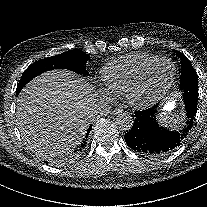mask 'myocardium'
<instances>
[{
    "label": "myocardium",
    "instance_id": "f54148a6",
    "mask_svg": "<svg viewBox=\"0 0 207 207\" xmlns=\"http://www.w3.org/2000/svg\"><path fill=\"white\" fill-rule=\"evenodd\" d=\"M169 62L173 66L172 77L165 87V89L158 96H148L147 87H148V77L149 74L161 63ZM177 77V67L176 63L166 57H162L151 63L142 73L139 82L127 93L126 99L128 103L135 109H141L149 104L155 103L161 99L166 98L170 93L175 84Z\"/></svg>",
    "mask_w": 207,
    "mask_h": 207
}]
</instances>
